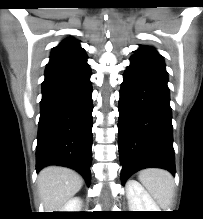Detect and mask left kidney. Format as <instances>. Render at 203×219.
Wrapping results in <instances>:
<instances>
[{
  "label": "left kidney",
  "mask_w": 203,
  "mask_h": 219,
  "mask_svg": "<svg viewBox=\"0 0 203 219\" xmlns=\"http://www.w3.org/2000/svg\"><path fill=\"white\" fill-rule=\"evenodd\" d=\"M125 188L130 211H160L154 200L139 182L128 180Z\"/></svg>",
  "instance_id": "obj_1"
}]
</instances>
